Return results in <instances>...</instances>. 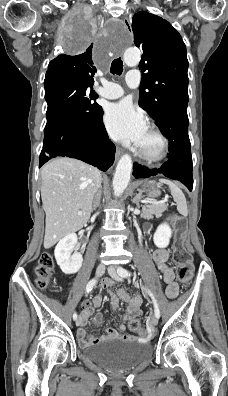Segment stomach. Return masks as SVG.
Listing matches in <instances>:
<instances>
[{"label": "stomach", "instance_id": "1", "mask_svg": "<svg viewBox=\"0 0 228 396\" xmlns=\"http://www.w3.org/2000/svg\"><path fill=\"white\" fill-rule=\"evenodd\" d=\"M146 191H147V196L150 198H155L160 195V191L157 188H155L154 185L147 186Z\"/></svg>", "mask_w": 228, "mask_h": 396}]
</instances>
